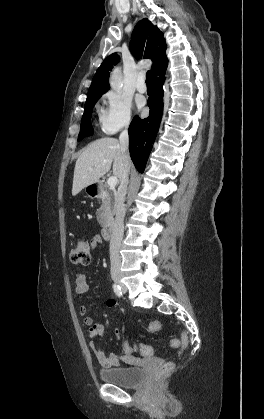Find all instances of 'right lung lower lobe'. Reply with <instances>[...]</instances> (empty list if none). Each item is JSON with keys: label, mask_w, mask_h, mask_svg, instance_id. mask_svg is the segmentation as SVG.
I'll return each instance as SVG.
<instances>
[{"label": "right lung lower lobe", "mask_w": 264, "mask_h": 419, "mask_svg": "<svg viewBox=\"0 0 264 419\" xmlns=\"http://www.w3.org/2000/svg\"><path fill=\"white\" fill-rule=\"evenodd\" d=\"M154 92L148 99L150 115L146 119L135 116L129 127V151L139 172H143L158 132L163 111L164 72L153 77Z\"/></svg>", "instance_id": "1"}]
</instances>
